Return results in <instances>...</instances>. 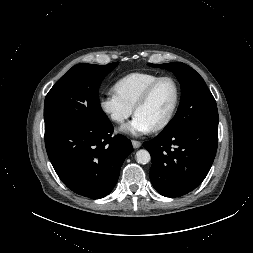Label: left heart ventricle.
Wrapping results in <instances>:
<instances>
[{"instance_id": "1", "label": "left heart ventricle", "mask_w": 253, "mask_h": 253, "mask_svg": "<svg viewBox=\"0 0 253 253\" xmlns=\"http://www.w3.org/2000/svg\"><path fill=\"white\" fill-rule=\"evenodd\" d=\"M175 99V87L169 80L160 82L148 102L136 115L143 118L152 128L161 123L169 114Z\"/></svg>"}]
</instances>
